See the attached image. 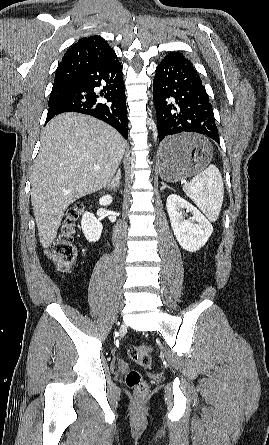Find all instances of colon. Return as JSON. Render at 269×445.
<instances>
[{
    "label": "colon",
    "mask_w": 269,
    "mask_h": 445,
    "mask_svg": "<svg viewBox=\"0 0 269 445\" xmlns=\"http://www.w3.org/2000/svg\"><path fill=\"white\" fill-rule=\"evenodd\" d=\"M81 211V204L67 210L59 235L47 250L48 258L59 269H67L76 261L78 251L75 237ZM128 354L135 363L142 367L149 368L152 365L151 352L146 346H132ZM125 382L138 395H144L147 392V384L137 370H130L125 377Z\"/></svg>",
    "instance_id": "5ec220e1"
}]
</instances>
